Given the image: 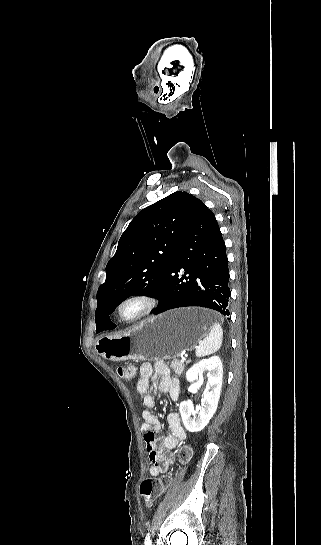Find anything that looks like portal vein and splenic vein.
<instances>
[{
	"mask_svg": "<svg viewBox=\"0 0 321 545\" xmlns=\"http://www.w3.org/2000/svg\"><path fill=\"white\" fill-rule=\"evenodd\" d=\"M184 355H185V358H181V361H186V358H189L188 353H184Z\"/></svg>",
	"mask_w": 321,
	"mask_h": 545,
	"instance_id": "1",
	"label": "portal vein and splenic vein"
}]
</instances>
